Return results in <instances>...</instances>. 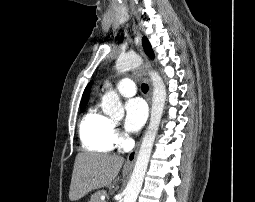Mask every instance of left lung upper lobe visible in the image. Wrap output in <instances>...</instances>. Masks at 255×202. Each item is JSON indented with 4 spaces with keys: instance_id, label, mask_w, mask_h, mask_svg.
<instances>
[{
    "instance_id": "obj_1",
    "label": "left lung upper lobe",
    "mask_w": 255,
    "mask_h": 202,
    "mask_svg": "<svg viewBox=\"0 0 255 202\" xmlns=\"http://www.w3.org/2000/svg\"><path fill=\"white\" fill-rule=\"evenodd\" d=\"M142 44H143V47H144V50L146 52V54L150 57V58H154V53L151 49V45L148 41V39L146 37H143L142 39Z\"/></svg>"
}]
</instances>
